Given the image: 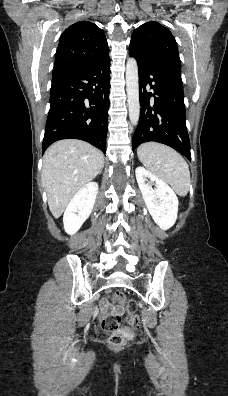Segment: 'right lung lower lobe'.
I'll use <instances>...</instances> for the list:
<instances>
[{
	"mask_svg": "<svg viewBox=\"0 0 228 396\" xmlns=\"http://www.w3.org/2000/svg\"><path fill=\"white\" fill-rule=\"evenodd\" d=\"M109 54L85 67L53 74L42 151L60 139H80L106 152Z\"/></svg>",
	"mask_w": 228,
	"mask_h": 396,
	"instance_id": "98d812e1",
	"label": "right lung lower lobe"
}]
</instances>
